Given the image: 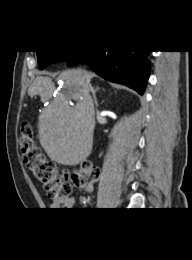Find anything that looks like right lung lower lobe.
Segmentation results:
<instances>
[{
    "label": "right lung lower lobe",
    "instance_id": "obj_1",
    "mask_svg": "<svg viewBox=\"0 0 192 260\" xmlns=\"http://www.w3.org/2000/svg\"><path fill=\"white\" fill-rule=\"evenodd\" d=\"M149 51H76L67 59V66L88 64L99 76L127 85L143 94L149 77Z\"/></svg>",
    "mask_w": 192,
    "mask_h": 260
}]
</instances>
